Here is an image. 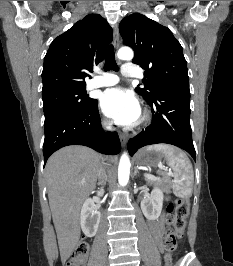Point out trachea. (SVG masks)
I'll list each match as a JSON object with an SVG mask.
<instances>
[{
  "label": "trachea",
  "mask_w": 233,
  "mask_h": 266,
  "mask_svg": "<svg viewBox=\"0 0 233 266\" xmlns=\"http://www.w3.org/2000/svg\"><path fill=\"white\" fill-rule=\"evenodd\" d=\"M104 70L105 71H109V70L118 71V65H117V63L115 61L113 45H110L108 50H107V54H106V58H105Z\"/></svg>",
  "instance_id": "3493384b"
}]
</instances>
